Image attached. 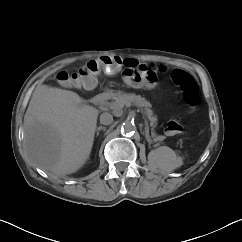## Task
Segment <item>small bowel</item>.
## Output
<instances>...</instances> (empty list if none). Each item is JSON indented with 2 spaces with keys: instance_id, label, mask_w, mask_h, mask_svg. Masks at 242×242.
Listing matches in <instances>:
<instances>
[{
  "instance_id": "small-bowel-1",
  "label": "small bowel",
  "mask_w": 242,
  "mask_h": 242,
  "mask_svg": "<svg viewBox=\"0 0 242 242\" xmlns=\"http://www.w3.org/2000/svg\"><path fill=\"white\" fill-rule=\"evenodd\" d=\"M125 81H126L128 84H130V85H131V83L129 82V80H128L127 76H125Z\"/></svg>"
}]
</instances>
